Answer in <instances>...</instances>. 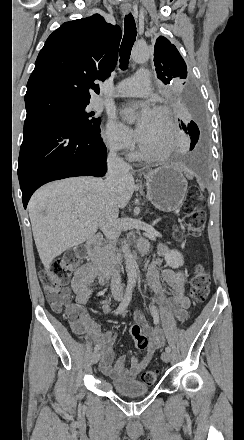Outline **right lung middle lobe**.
I'll use <instances>...</instances> for the list:
<instances>
[{"mask_svg":"<svg viewBox=\"0 0 244 440\" xmlns=\"http://www.w3.org/2000/svg\"><path fill=\"white\" fill-rule=\"evenodd\" d=\"M90 98H74L58 94H47L25 98L27 116L43 115L58 119L74 127L91 130L100 126V118L87 111Z\"/></svg>","mask_w":244,"mask_h":440,"instance_id":"obj_1","label":"right lung middle lobe"}]
</instances>
